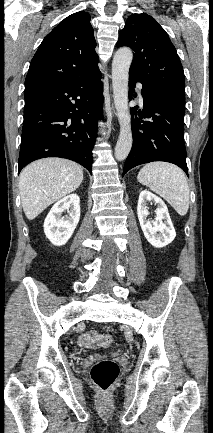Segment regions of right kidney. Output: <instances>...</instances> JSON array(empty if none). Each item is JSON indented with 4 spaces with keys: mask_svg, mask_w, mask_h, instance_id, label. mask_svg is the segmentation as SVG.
<instances>
[{
    "mask_svg": "<svg viewBox=\"0 0 213 433\" xmlns=\"http://www.w3.org/2000/svg\"><path fill=\"white\" fill-rule=\"evenodd\" d=\"M67 211V216H62ZM80 219V198L70 194L51 208L44 221V233L55 246L64 245L72 236Z\"/></svg>",
    "mask_w": 213,
    "mask_h": 433,
    "instance_id": "ca27d5eb",
    "label": "right kidney"
}]
</instances>
